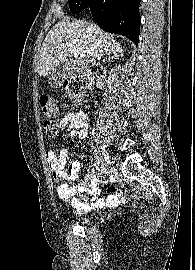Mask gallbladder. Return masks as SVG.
<instances>
[{
  "label": "gallbladder",
  "mask_w": 195,
  "mask_h": 270,
  "mask_svg": "<svg viewBox=\"0 0 195 270\" xmlns=\"http://www.w3.org/2000/svg\"><path fill=\"white\" fill-rule=\"evenodd\" d=\"M74 73L75 70H73L71 62L63 63L52 71L48 77V84L52 88H58L65 79L70 78Z\"/></svg>",
  "instance_id": "bac80fb5"
}]
</instances>
